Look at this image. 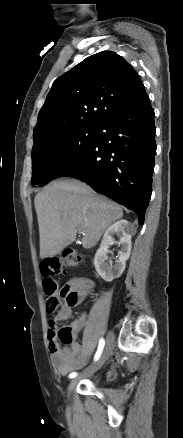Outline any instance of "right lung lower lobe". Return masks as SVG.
Returning <instances> with one entry per match:
<instances>
[{"mask_svg": "<svg viewBox=\"0 0 183 438\" xmlns=\"http://www.w3.org/2000/svg\"><path fill=\"white\" fill-rule=\"evenodd\" d=\"M156 152L148 95L99 124L92 143L55 178L72 177L138 214L144 223Z\"/></svg>", "mask_w": 183, "mask_h": 438, "instance_id": "1", "label": "right lung lower lobe"}]
</instances>
